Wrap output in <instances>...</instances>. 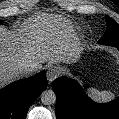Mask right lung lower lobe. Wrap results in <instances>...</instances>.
Here are the masks:
<instances>
[{
  "mask_svg": "<svg viewBox=\"0 0 119 119\" xmlns=\"http://www.w3.org/2000/svg\"><path fill=\"white\" fill-rule=\"evenodd\" d=\"M45 72L13 82L0 90V119H26L30 105L46 89Z\"/></svg>",
  "mask_w": 119,
  "mask_h": 119,
  "instance_id": "obj_1",
  "label": "right lung lower lobe"
}]
</instances>
